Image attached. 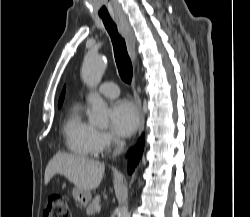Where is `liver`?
Returning <instances> with one entry per match:
<instances>
[{
    "mask_svg": "<svg viewBox=\"0 0 250 217\" xmlns=\"http://www.w3.org/2000/svg\"><path fill=\"white\" fill-rule=\"evenodd\" d=\"M104 170V163L99 161L58 152L46 167L44 182L47 185L54 175L60 174L79 190H93L100 185Z\"/></svg>",
    "mask_w": 250,
    "mask_h": 217,
    "instance_id": "6515ba94",
    "label": "liver"
}]
</instances>
